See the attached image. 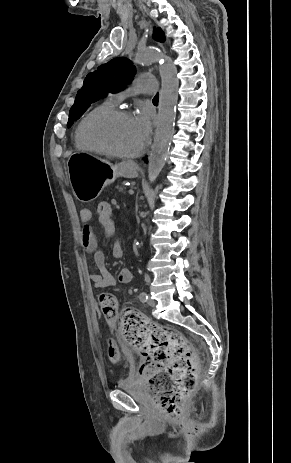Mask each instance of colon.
Returning <instances> with one entry per match:
<instances>
[{
    "instance_id": "5ec220e1",
    "label": "colon",
    "mask_w": 291,
    "mask_h": 463,
    "mask_svg": "<svg viewBox=\"0 0 291 463\" xmlns=\"http://www.w3.org/2000/svg\"><path fill=\"white\" fill-rule=\"evenodd\" d=\"M112 203L97 201L93 217L99 226H112ZM99 306L104 317L113 321L117 318L118 305L115 297L103 293ZM120 329L126 341L140 351L143 357L141 375L147 380L151 397L168 416L178 419L182 406L196 386L197 367L193 350L176 329L164 327L133 312L125 311L120 319ZM108 355L113 363L120 360V352L110 342Z\"/></svg>"
}]
</instances>
